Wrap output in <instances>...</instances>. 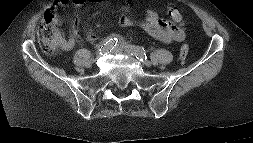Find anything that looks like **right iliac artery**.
I'll return each instance as SVG.
<instances>
[{
	"mask_svg": "<svg viewBox=\"0 0 253 143\" xmlns=\"http://www.w3.org/2000/svg\"><path fill=\"white\" fill-rule=\"evenodd\" d=\"M118 39L117 38H109L104 41L103 45H101L99 51L101 53H106L108 51H111L117 44Z\"/></svg>",
	"mask_w": 253,
	"mask_h": 143,
	"instance_id": "82829eb1",
	"label": "right iliac artery"
}]
</instances>
